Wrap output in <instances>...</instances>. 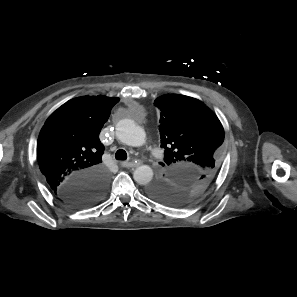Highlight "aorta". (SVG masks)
<instances>
[{
    "label": "aorta",
    "mask_w": 297,
    "mask_h": 297,
    "mask_svg": "<svg viewBox=\"0 0 297 297\" xmlns=\"http://www.w3.org/2000/svg\"><path fill=\"white\" fill-rule=\"evenodd\" d=\"M116 137L123 144L132 147H139L146 141L144 129L130 119H123L117 123ZM133 178L138 184L147 185L153 178V170L148 165H141L134 170Z\"/></svg>",
    "instance_id": "aorta-1"
}]
</instances>
